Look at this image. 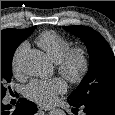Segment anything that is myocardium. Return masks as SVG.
Here are the masks:
<instances>
[{"label": "myocardium", "instance_id": "1", "mask_svg": "<svg viewBox=\"0 0 115 115\" xmlns=\"http://www.w3.org/2000/svg\"><path fill=\"white\" fill-rule=\"evenodd\" d=\"M58 73L70 83H79L89 71L90 59L82 46L70 47L56 63Z\"/></svg>", "mask_w": 115, "mask_h": 115}]
</instances>
